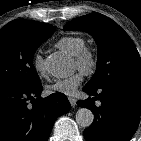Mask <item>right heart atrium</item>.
Instances as JSON below:
<instances>
[{"mask_svg": "<svg viewBox=\"0 0 141 141\" xmlns=\"http://www.w3.org/2000/svg\"><path fill=\"white\" fill-rule=\"evenodd\" d=\"M33 67L38 74H40V75L45 74L44 59L41 54L37 53L33 57Z\"/></svg>", "mask_w": 141, "mask_h": 141, "instance_id": "obj_1", "label": "right heart atrium"}]
</instances>
